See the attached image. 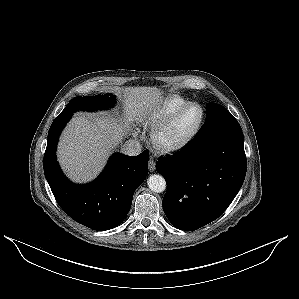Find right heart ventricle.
Here are the masks:
<instances>
[{"instance_id":"e07e8e85","label":"right heart ventricle","mask_w":299,"mask_h":299,"mask_svg":"<svg viewBox=\"0 0 299 299\" xmlns=\"http://www.w3.org/2000/svg\"><path fill=\"white\" fill-rule=\"evenodd\" d=\"M187 102L189 101L179 95L165 97L149 111L146 117L147 124L154 127Z\"/></svg>"}]
</instances>
